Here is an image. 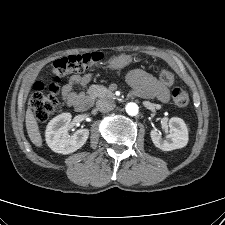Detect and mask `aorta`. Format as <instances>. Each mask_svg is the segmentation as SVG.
<instances>
[{
    "mask_svg": "<svg viewBox=\"0 0 225 225\" xmlns=\"http://www.w3.org/2000/svg\"><path fill=\"white\" fill-rule=\"evenodd\" d=\"M126 109V112L128 115L130 116H135L138 114V111H139V107L136 103H133V102H130L126 105L125 107Z\"/></svg>",
    "mask_w": 225,
    "mask_h": 225,
    "instance_id": "762f6f07",
    "label": "aorta"
}]
</instances>
